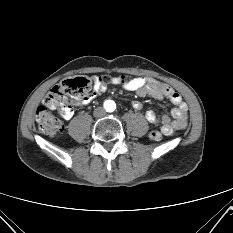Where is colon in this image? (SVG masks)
<instances>
[{
	"label": "colon",
	"mask_w": 233,
	"mask_h": 233,
	"mask_svg": "<svg viewBox=\"0 0 233 233\" xmlns=\"http://www.w3.org/2000/svg\"><path fill=\"white\" fill-rule=\"evenodd\" d=\"M111 76L101 77L104 82H109ZM119 82L125 83L130 80L128 76L117 77ZM92 95L91 80L84 77L69 78L62 83L54 86L50 93L45 97L43 104L36 111V122L40 133L47 136H54L62 131V122L53 114L52 110L63 106H71L88 99ZM148 137L153 141H160L162 134L158 130L149 132Z\"/></svg>",
	"instance_id": "colon-1"
}]
</instances>
